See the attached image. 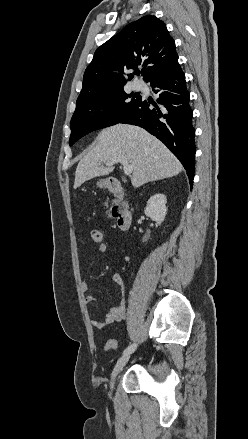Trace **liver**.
<instances>
[{
  "label": "liver",
  "instance_id": "obj_1",
  "mask_svg": "<svg viewBox=\"0 0 248 439\" xmlns=\"http://www.w3.org/2000/svg\"><path fill=\"white\" fill-rule=\"evenodd\" d=\"M122 158L133 166L131 183H145L178 175L183 166L169 149L144 129L118 124L103 129L97 144L80 160L75 172L74 189L98 176L108 175L113 167L108 161Z\"/></svg>",
  "mask_w": 248,
  "mask_h": 439
}]
</instances>
